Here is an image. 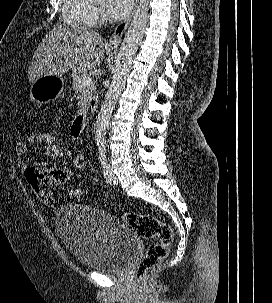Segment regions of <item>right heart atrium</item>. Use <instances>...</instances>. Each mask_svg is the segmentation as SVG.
Segmentation results:
<instances>
[{
	"instance_id": "1",
	"label": "right heart atrium",
	"mask_w": 272,
	"mask_h": 303,
	"mask_svg": "<svg viewBox=\"0 0 272 303\" xmlns=\"http://www.w3.org/2000/svg\"><path fill=\"white\" fill-rule=\"evenodd\" d=\"M103 11L98 8V7H94V13H93V22L97 23L99 21H101L103 19Z\"/></svg>"
}]
</instances>
